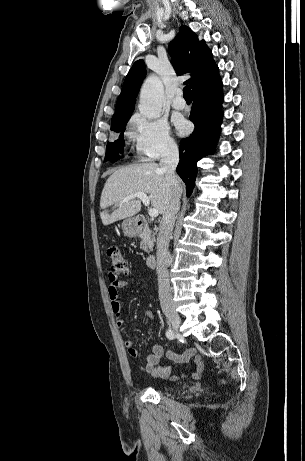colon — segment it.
<instances>
[{
	"instance_id": "colon-1",
	"label": "colon",
	"mask_w": 305,
	"mask_h": 461,
	"mask_svg": "<svg viewBox=\"0 0 305 461\" xmlns=\"http://www.w3.org/2000/svg\"><path fill=\"white\" fill-rule=\"evenodd\" d=\"M107 255L110 259L111 263V274L115 277L118 275L126 274L129 271V266L128 263L122 254V252L119 250L118 247L116 246H110L107 249Z\"/></svg>"
}]
</instances>
